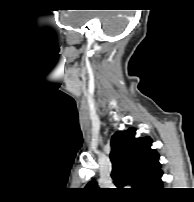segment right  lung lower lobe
<instances>
[{
    "mask_svg": "<svg viewBox=\"0 0 194 202\" xmlns=\"http://www.w3.org/2000/svg\"><path fill=\"white\" fill-rule=\"evenodd\" d=\"M161 190H162V187L159 188L158 190L154 191L153 194H157V193H159Z\"/></svg>",
    "mask_w": 194,
    "mask_h": 202,
    "instance_id": "1",
    "label": "right lung lower lobe"
}]
</instances>
